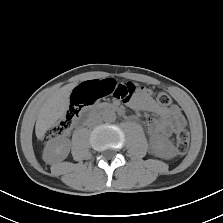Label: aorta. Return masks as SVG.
I'll return each mask as SVG.
<instances>
[{"label":"aorta","mask_w":223,"mask_h":223,"mask_svg":"<svg viewBox=\"0 0 223 223\" xmlns=\"http://www.w3.org/2000/svg\"><path fill=\"white\" fill-rule=\"evenodd\" d=\"M102 120L105 122H114L116 120V113L113 110H104L102 112Z\"/></svg>","instance_id":"obj_1"}]
</instances>
